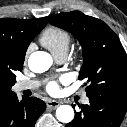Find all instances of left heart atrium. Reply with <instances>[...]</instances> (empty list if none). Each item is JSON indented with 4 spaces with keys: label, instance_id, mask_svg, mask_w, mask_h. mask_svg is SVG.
Returning a JSON list of instances; mask_svg holds the SVG:
<instances>
[{
    "label": "left heart atrium",
    "instance_id": "1",
    "mask_svg": "<svg viewBox=\"0 0 127 127\" xmlns=\"http://www.w3.org/2000/svg\"><path fill=\"white\" fill-rule=\"evenodd\" d=\"M66 78L62 77L59 81L51 80L47 83L46 89L50 94H57L59 92V82L65 81Z\"/></svg>",
    "mask_w": 127,
    "mask_h": 127
}]
</instances>
